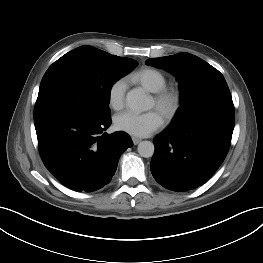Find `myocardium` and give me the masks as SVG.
I'll list each match as a JSON object with an SVG mask.
<instances>
[{
    "mask_svg": "<svg viewBox=\"0 0 263 263\" xmlns=\"http://www.w3.org/2000/svg\"><path fill=\"white\" fill-rule=\"evenodd\" d=\"M153 101L164 118L171 120L177 115L182 106L183 95L179 88L165 86L154 93Z\"/></svg>",
    "mask_w": 263,
    "mask_h": 263,
    "instance_id": "1",
    "label": "myocardium"
}]
</instances>
